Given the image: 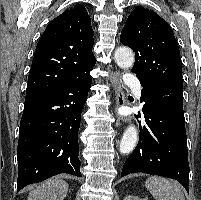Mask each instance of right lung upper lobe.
I'll list each match as a JSON object with an SVG mask.
<instances>
[{
  "label": "right lung upper lobe",
  "mask_w": 201,
  "mask_h": 200,
  "mask_svg": "<svg viewBox=\"0 0 201 200\" xmlns=\"http://www.w3.org/2000/svg\"><path fill=\"white\" fill-rule=\"evenodd\" d=\"M92 47L91 19L83 5L53 19L37 44L26 97L65 86L90 71L96 62Z\"/></svg>",
  "instance_id": "1"
}]
</instances>
